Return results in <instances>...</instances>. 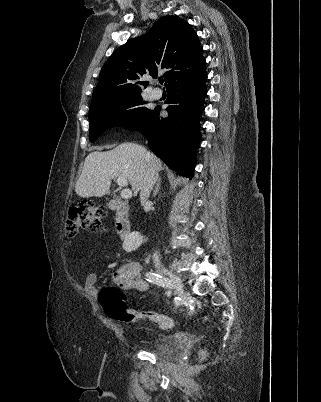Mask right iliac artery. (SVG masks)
<instances>
[{
	"instance_id": "obj_1",
	"label": "right iliac artery",
	"mask_w": 321,
	"mask_h": 402,
	"mask_svg": "<svg viewBox=\"0 0 321 402\" xmlns=\"http://www.w3.org/2000/svg\"><path fill=\"white\" fill-rule=\"evenodd\" d=\"M145 276H146L147 281L152 282V283H154V284H156L158 286H162V287L168 289L167 294L168 295L171 294L170 289L172 287V284L167 278H163L162 276H160L159 274H156L154 272H147ZM178 300H180V298L176 297L175 302L178 303Z\"/></svg>"
}]
</instances>
